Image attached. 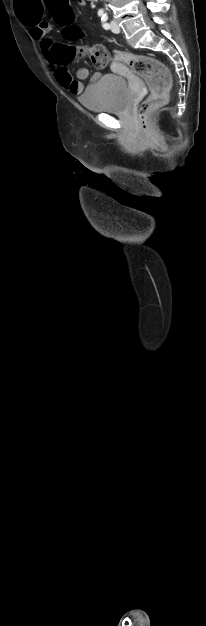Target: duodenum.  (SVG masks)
<instances>
[{
  "mask_svg": "<svg viewBox=\"0 0 206 626\" xmlns=\"http://www.w3.org/2000/svg\"><path fill=\"white\" fill-rule=\"evenodd\" d=\"M90 1H92V2H97L98 0H90Z\"/></svg>",
  "mask_w": 206,
  "mask_h": 626,
  "instance_id": "1",
  "label": "duodenum"
}]
</instances>
